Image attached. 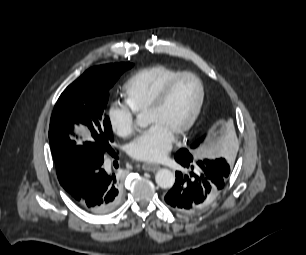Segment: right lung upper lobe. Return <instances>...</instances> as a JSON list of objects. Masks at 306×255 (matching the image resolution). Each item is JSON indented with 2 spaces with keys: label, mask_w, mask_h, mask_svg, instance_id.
I'll use <instances>...</instances> for the list:
<instances>
[{
  "label": "right lung upper lobe",
  "mask_w": 306,
  "mask_h": 255,
  "mask_svg": "<svg viewBox=\"0 0 306 255\" xmlns=\"http://www.w3.org/2000/svg\"><path fill=\"white\" fill-rule=\"evenodd\" d=\"M104 66H105V65H101V66H97V67H94V68H96V69H98V70H101V69L104 68ZM73 188H74V187L65 188V190H67V191L70 193V192H72Z\"/></svg>",
  "instance_id": "cb5924a9"
}]
</instances>
